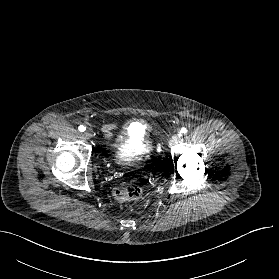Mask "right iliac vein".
Returning a JSON list of instances; mask_svg holds the SVG:
<instances>
[{
  "instance_id": "obj_1",
  "label": "right iliac vein",
  "mask_w": 279,
  "mask_h": 279,
  "mask_svg": "<svg viewBox=\"0 0 279 279\" xmlns=\"http://www.w3.org/2000/svg\"><path fill=\"white\" fill-rule=\"evenodd\" d=\"M84 135H85V137L88 138V139L92 138V137H93V131H92V129L88 128V129L85 131Z\"/></svg>"
}]
</instances>
